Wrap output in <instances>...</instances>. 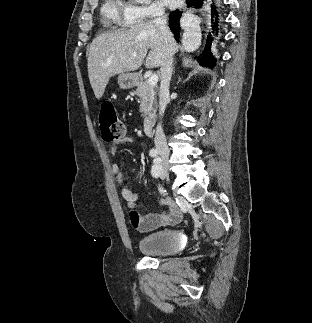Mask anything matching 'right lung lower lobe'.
Here are the masks:
<instances>
[{"label": "right lung lower lobe", "mask_w": 312, "mask_h": 323, "mask_svg": "<svg viewBox=\"0 0 312 323\" xmlns=\"http://www.w3.org/2000/svg\"><path fill=\"white\" fill-rule=\"evenodd\" d=\"M204 1L206 0H186L187 6L200 9V8H207L209 10L210 7V14H211V28L207 32L208 37L206 40V46L204 48L203 53L201 54V62L207 65H212L215 62L214 57L211 54V45L212 42L215 40V36L218 35L219 32V12L217 11V7L214 4H210L207 6ZM182 16V12L180 11H173L169 15V27L171 28L175 39L179 41V33H180V18Z\"/></svg>", "instance_id": "98d812e1"}]
</instances>
